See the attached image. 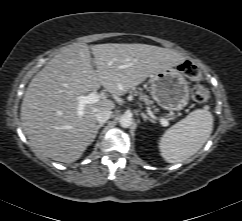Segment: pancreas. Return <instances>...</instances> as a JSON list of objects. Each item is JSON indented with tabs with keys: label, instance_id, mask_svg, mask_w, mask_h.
<instances>
[{
	"label": "pancreas",
	"instance_id": "1",
	"mask_svg": "<svg viewBox=\"0 0 242 221\" xmlns=\"http://www.w3.org/2000/svg\"><path fill=\"white\" fill-rule=\"evenodd\" d=\"M131 93H133L134 95H139L140 99L143 100L145 102V104H147V105L152 103V101L150 100L148 95L143 94V93L137 91L136 89H133L131 91Z\"/></svg>",
	"mask_w": 242,
	"mask_h": 221
}]
</instances>
